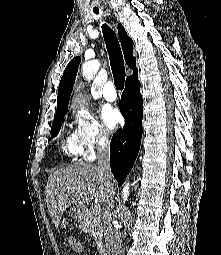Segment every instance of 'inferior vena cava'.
<instances>
[{
  "label": "inferior vena cava",
  "mask_w": 221,
  "mask_h": 255,
  "mask_svg": "<svg viewBox=\"0 0 221 255\" xmlns=\"http://www.w3.org/2000/svg\"><path fill=\"white\" fill-rule=\"evenodd\" d=\"M97 159V165L99 169L102 170L105 175L111 179L112 174L110 171L109 141L106 136L99 138ZM114 194L115 192L113 191V197L108 203L107 210L105 211L104 215V237L107 249L106 255H123L122 236L120 231L115 226L114 213L112 212Z\"/></svg>",
  "instance_id": "1"
}]
</instances>
